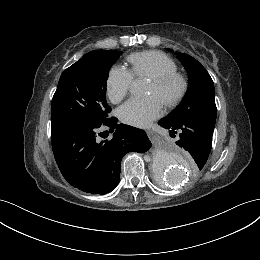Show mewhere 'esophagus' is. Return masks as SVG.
Instances as JSON below:
<instances>
[{
    "label": "esophagus",
    "mask_w": 260,
    "mask_h": 260,
    "mask_svg": "<svg viewBox=\"0 0 260 260\" xmlns=\"http://www.w3.org/2000/svg\"><path fill=\"white\" fill-rule=\"evenodd\" d=\"M147 135H148V137L152 140V141H156L157 140V134L153 131V130H151V129H148L147 130Z\"/></svg>",
    "instance_id": "obj_1"
}]
</instances>
